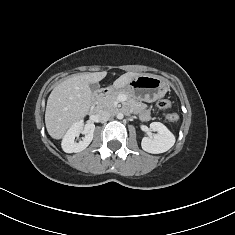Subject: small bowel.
<instances>
[{
    "label": "small bowel",
    "instance_id": "1",
    "mask_svg": "<svg viewBox=\"0 0 235 235\" xmlns=\"http://www.w3.org/2000/svg\"><path fill=\"white\" fill-rule=\"evenodd\" d=\"M143 117H144V118H147V117H148V112H147V111L144 112Z\"/></svg>",
    "mask_w": 235,
    "mask_h": 235
}]
</instances>
